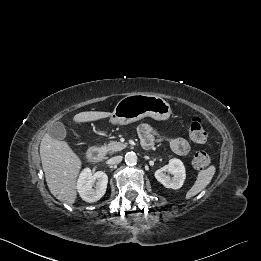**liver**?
<instances>
[{"label": "liver", "mask_w": 261, "mask_h": 261, "mask_svg": "<svg viewBox=\"0 0 261 261\" xmlns=\"http://www.w3.org/2000/svg\"><path fill=\"white\" fill-rule=\"evenodd\" d=\"M109 112L87 111L76 114L75 123H86L107 118ZM40 157L46 182L52 195L67 204L77 199L76 181L81 160L65 141L53 139L46 133L40 144Z\"/></svg>", "instance_id": "6515ba94"}]
</instances>
